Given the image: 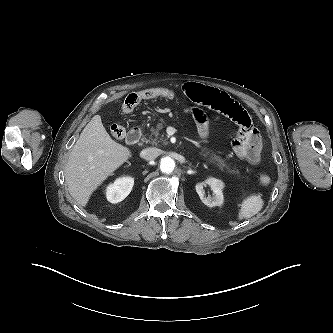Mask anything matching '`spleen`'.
<instances>
[{
    "mask_svg": "<svg viewBox=\"0 0 333 333\" xmlns=\"http://www.w3.org/2000/svg\"><path fill=\"white\" fill-rule=\"evenodd\" d=\"M263 207V200L258 195H251L247 197L241 204L238 218H251L256 215Z\"/></svg>",
    "mask_w": 333,
    "mask_h": 333,
    "instance_id": "3e777b00",
    "label": "spleen"
}]
</instances>
